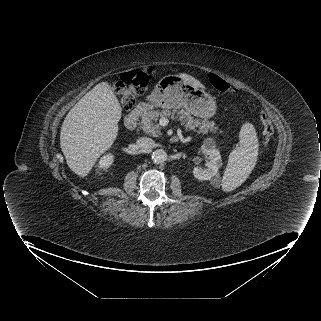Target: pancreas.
I'll use <instances>...</instances> for the list:
<instances>
[{
  "instance_id": "pancreas-1",
  "label": "pancreas",
  "mask_w": 321,
  "mask_h": 321,
  "mask_svg": "<svg viewBox=\"0 0 321 321\" xmlns=\"http://www.w3.org/2000/svg\"><path fill=\"white\" fill-rule=\"evenodd\" d=\"M160 117H172L180 121L181 125L189 130H193L198 134H207L208 132L217 133L219 130L215 123L208 120L194 119L190 113L185 110H168L163 109L153 110L144 113L141 117L140 127L142 130L154 137H159L161 133V126L157 123Z\"/></svg>"
}]
</instances>
